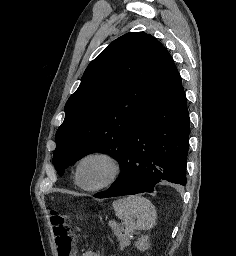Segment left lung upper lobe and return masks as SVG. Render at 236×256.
I'll return each mask as SVG.
<instances>
[{"label": "left lung upper lobe", "instance_id": "obj_1", "mask_svg": "<svg viewBox=\"0 0 236 256\" xmlns=\"http://www.w3.org/2000/svg\"><path fill=\"white\" fill-rule=\"evenodd\" d=\"M180 84L172 57L150 34L132 32L113 41L88 65L66 102L55 137L57 173L93 152L120 163L139 119Z\"/></svg>", "mask_w": 236, "mask_h": 256}]
</instances>
